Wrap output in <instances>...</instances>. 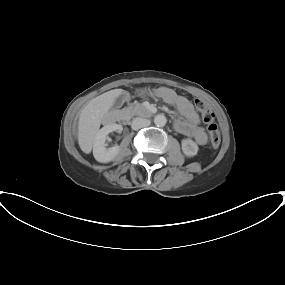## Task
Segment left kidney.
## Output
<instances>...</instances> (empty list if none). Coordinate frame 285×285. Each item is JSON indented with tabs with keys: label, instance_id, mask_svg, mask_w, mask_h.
I'll return each instance as SVG.
<instances>
[{
	"label": "left kidney",
	"instance_id": "5707ae66",
	"mask_svg": "<svg viewBox=\"0 0 285 285\" xmlns=\"http://www.w3.org/2000/svg\"><path fill=\"white\" fill-rule=\"evenodd\" d=\"M181 145L182 151L187 157H193L198 152V145L191 139H183Z\"/></svg>",
	"mask_w": 285,
	"mask_h": 285
}]
</instances>
